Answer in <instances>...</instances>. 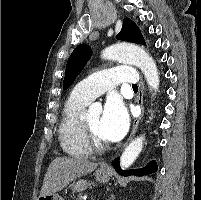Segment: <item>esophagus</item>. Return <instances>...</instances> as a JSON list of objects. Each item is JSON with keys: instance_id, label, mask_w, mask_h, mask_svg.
<instances>
[{"instance_id": "1", "label": "esophagus", "mask_w": 201, "mask_h": 200, "mask_svg": "<svg viewBox=\"0 0 201 200\" xmlns=\"http://www.w3.org/2000/svg\"><path fill=\"white\" fill-rule=\"evenodd\" d=\"M143 101H144V83L143 81L141 80L140 83H139V91H138V95H137V103L139 104V106L141 107V113L138 117H136L134 119V122H133V127H132V130H131V133L125 143V146L133 139L136 131H137V128H138V125H139V122L140 120L142 119L143 115H144V105H143ZM103 169H106L108 168L107 165L103 164L101 166Z\"/></svg>"}]
</instances>
